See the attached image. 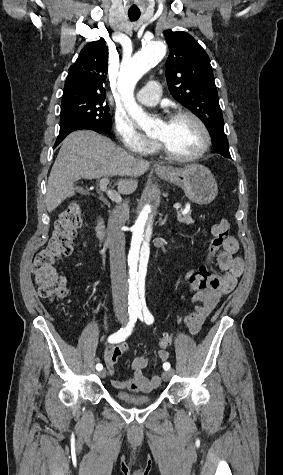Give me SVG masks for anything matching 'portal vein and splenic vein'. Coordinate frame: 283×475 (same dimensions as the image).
I'll return each mask as SVG.
<instances>
[{"mask_svg": "<svg viewBox=\"0 0 283 475\" xmlns=\"http://www.w3.org/2000/svg\"><path fill=\"white\" fill-rule=\"evenodd\" d=\"M108 184H109L108 178H102V180H100L101 192H106L107 196H109L112 202H119V200H121L120 194H117L115 190H107ZM173 208H175V210H178V208H181V204H174Z\"/></svg>", "mask_w": 283, "mask_h": 475, "instance_id": "1", "label": "portal vein and splenic vein"}]
</instances>
